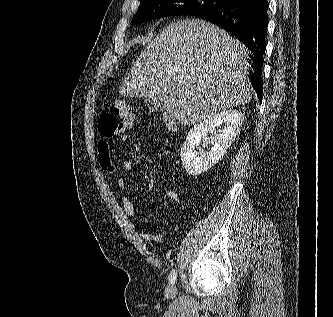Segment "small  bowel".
Instances as JSON below:
<instances>
[{"label":"small bowel","instance_id":"obj_1","mask_svg":"<svg viewBox=\"0 0 333 317\" xmlns=\"http://www.w3.org/2000/svg\"><path fill=\"white\" fill-rule=\"evenodd\" d=\"M119 139L121 141H128L130 140V135L128 134H122L119 136ZM97 154H98V161L100 167L110 173L114 174L116 172V167L111 159V151H110V146L107 141L105 140H100L97 145ZM134 167V161L130 158L125 159L123 162V168L126 172H131ZM117 188L120 193V199L122 202V207L125 215L132 219L135 220L136 218V212H135V207L132 202V200L129 197V194L126 192V181L124 178H119L116 182ZM165 193L167 197L174 203L175 206L179 205V195L178 193L172 189V188H166ZM139 236L142 240L147 241V242H153L157 243L160 242L164 239V234L163 233H156V234H151L146 231H141L139 233Z\"/></svg>","mask_w":333,"mask_h":317}]
</instances>
